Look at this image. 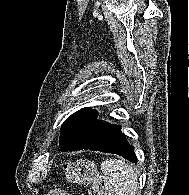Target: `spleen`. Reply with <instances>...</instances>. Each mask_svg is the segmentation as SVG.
I'll list each match as a JSON object with an SVG mask.
<instances>
[{
    "mask_svg": "<svg viewBox=\"0 0 189 195\" xmlns=\"http://www.w3.org/2000/svg\"><path fill=\"white\" fill-rule=\"evenodd\" d=\"M101 170L116 195H136L137 173L125 160H105L101 164Z\"/></svg>",
    "mask_w": 189,
    "mask_h": 195,
    "instance_id": "obj_1",
    "label": "spleen"
}]
</instances>
